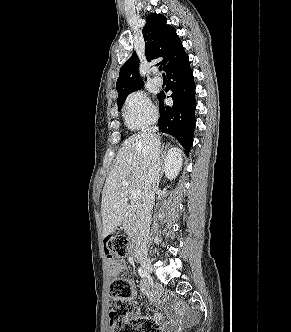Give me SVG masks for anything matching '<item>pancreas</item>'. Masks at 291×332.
I'll return each mask as SVG.
<instances>
[{
	"instance_id": "cf45deb5",
	"label": "pancreas",
	"mask_w": 291,
	"mask_h": 332,
	"mask_svg": "<svg viewBox=\"0 0 291 332\" xmlns=\"http://www.w3.org/2000/svg\"><path fill=\"white\" fill-rule=\"evenodd\" d=\"M139 211V206L137 204L129 205L125 210V215L123 219V228L129 233L136 227V220Z\"/></svg>"
}]
</instances>
